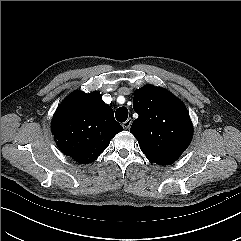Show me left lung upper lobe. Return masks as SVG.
<instances>
[{
  "label": "left lung upper lobe",
  "instance_id": "obj_1",
  "mask_svg": "<svg viewBox=\"0 0 241 241\" xmlns=\"http://www.w3.org/2000/svg\"><path fill=\"white\" fill-rule=\"evenodd\" d=\"M133 108L139 117L130 132L141 151L156 164L174 163L192 139V123L184 104L164 88L145 85L135 91Z\"/></svg>",
  "mask_w": 241,
  "mask_h": 241
}]
</instances>
